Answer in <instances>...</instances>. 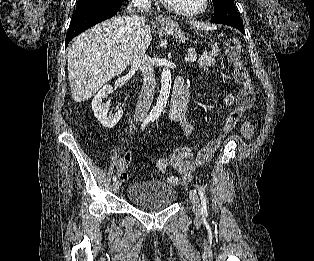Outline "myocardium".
<instances>
[{
	"mask_svg": "<svg viewBox=\"0 0 314 261\" xmlns=\"http://www.w3.org/2000/svg\"><path fill=\"white\" fill-rule=\"evenodd\" d=\"M164 6L170 12H173L177 15L184 16V17H194L204 13L210 5V0H202L201 5L196 9H182L179 7L174 6L168 0H163Z\"/></svg>",
	"mask_w": 314,
	"mask_h": 261,
	"instance_id": "1",
	"label": "myocardium"
}]
</instances>
